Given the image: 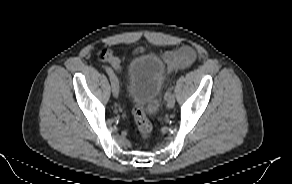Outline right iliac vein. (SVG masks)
Masks as SVG:
<instances>
[{"mask_svg":"<svg viewBox=\"0 0 292 184\" xmlns=\"http://www.w3.org/2000/svg\"><path fill=\"white\" fill-rule=\"evenodd\" d=\"M111 80V86H112V93L114 97H118L119 94V83H118V79L115 75H113L112 77H110Z\"/></svg>","mask_w":292,"mask_h":184,"instance_id":"right-iliac-vein-1","label":"right iliac vein"}]
</instances>
